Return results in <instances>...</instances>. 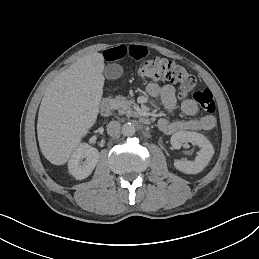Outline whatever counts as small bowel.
I'll list each match as a JSON object with an SVG mask.
<instances>
[{
    "label": "small bowel",
    "instance_id": "1",
    "mask_svg": "<svg viewBox=\"0 0 259 259\" xmlns=\"http://www.w3.org/2000/svg\"><path fill=\"white\" fill-rule=\"evenodd\" d=\"M149 49L144 45H117L106 49L103 52V57L108 62H115L125 57H130L136 60L142 59L148 55ZM147 92L152 97H157L161 100L165 109L174 110L178 104V97L173 85L158 83H150L147 86ZM181 111L192 118L185 120H169L161 118L158 121L159 130L167 135H172L182 131H208L215 127L216 119L212 115H202L193 117L198 111L196 101L190 97H182L179 101Z\"/></svg>",
    "mask_w": 259,
    "mask_h": 259
}]
</instances>
